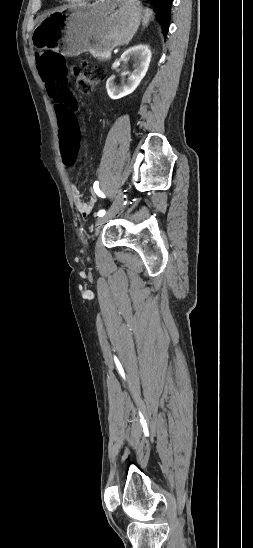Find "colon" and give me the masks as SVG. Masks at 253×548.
Returning <instances> with one entry per match:
<instances>
[{
    "instance_id": "1",
    "label": "colon",
    "mask_w": 253,
    "mask_h": 548,
    "mask_svg": "<svg viewBox=\"0 0 253 548\" xmlns=\"http://www.w3.org/2000/svg\"><path fill=\"white\" fill-rule=\"evenodd\" d=\"M51 50L43 51L37 66L50 105L54 106L55 119L60 130L62 156L65 166H73L77 160V138L82 136L78 117L79 106L72 97L73 83L68 72V60ZM76 87L79 93L89 94L95 85L105 77V70L89 60H83L74 67Z\"/></svg>"
}]
</instances>
